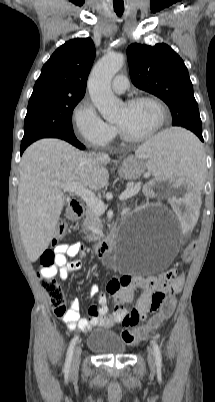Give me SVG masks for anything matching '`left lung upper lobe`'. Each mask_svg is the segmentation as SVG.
I'll list each match as a JSON object with an SVG mask.
<instances>
[{"instance_id": "1", "label": "left lung upper lobe", "mask_w": 215, "mask_h": 402, "mask_svg": "<svg viewBox=\"0 0 215 402\" xmlns=\"http://www.w3.org/2000/svg\"><path fill=\"white\" fill-rule=\"evenodd\" d=\"M133 84L162 99L172 113V125L202 136L201 119L188 70L180 56L164 43L154 47L134 43L127 48Z\"/></svg>"}]
</instances>
